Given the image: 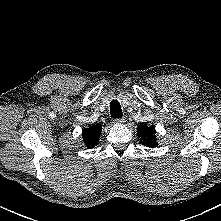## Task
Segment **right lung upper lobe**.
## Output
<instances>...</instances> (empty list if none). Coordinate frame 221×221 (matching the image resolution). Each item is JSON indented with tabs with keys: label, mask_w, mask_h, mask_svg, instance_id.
<instances>
[{
	"label": "right lung upper lobe",
	"mask_w": 221,
	"mask_h": 221,
	"mask_svg": "<svg viewBox=\"0 0 221 221\" xmlns=\"http://www.w3.org/2000/svg\"><path fill=\"white\" fill-rule=\"evenodd\" d=\"M101 125H93L83 130V141L89 148H94L99 141L101 134Z\"/></svg>",
	"instance_id": "obj_1"
}]
</instances>
